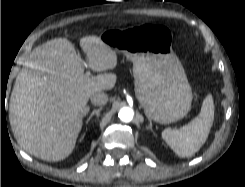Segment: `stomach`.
<instances>
[{
	"label": "stomach",
	"instance_id": "stomach-1",
	"mask_svg": "<svg viewBox=\"0 0 245 187\" xmlns=\"http://www.w3.org/2000/svg\"><path fill=\"white\" fill-rule=\"evenodd\" d=\"M103 43L133 62L135 94L145 114L161 124L182 119L191 109V86L172 50V33L161 24L112 29Z\"/></svg>",
	"mask_w": 245,
	"mask_h": 187
}]
</instances>
